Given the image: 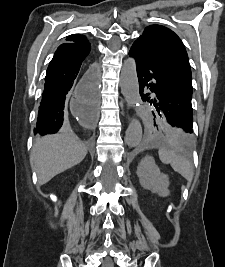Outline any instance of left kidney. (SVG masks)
Returning <instances> with one entry per match:
<instances>
[{
    "label": "left kidney",
    "mask_w": 225,
    "mask_h": 267,
    "mask_svg": "<svg viewBox=\"0 0 225 267\" xmlns=\"http://www.w3.org/2000/svg\"><path fill=\"white\" fill-rule=\"evenodd\" d=\"M137 176L144 189L151 190L159 196L169 195V177L160 172L151 156H146L137 167Z\"/></svg>",
    "instance_id": "left-kidney-1"
}]
</instances>
